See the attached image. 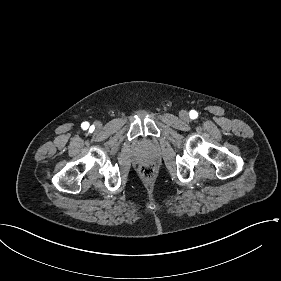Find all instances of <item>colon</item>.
<instances>
[{
  "instance_id": "colon-1",
  "label": "colon",
  "mask_w": 281,
  "mask_h": 281,
  "mask_svg": "<svg viewBox=\"0 0 281 281\" xmlns=\"http://www.w3.org/2000/svg\"><path fill=\"white\" fill-rule=\"evenodd\" d=\"M143 174L145 177H151L152 176V171L151 168L148 166L143 167Z\"/></svg>"
}]
</instances>
